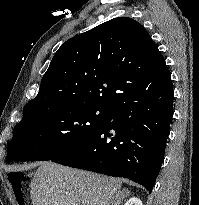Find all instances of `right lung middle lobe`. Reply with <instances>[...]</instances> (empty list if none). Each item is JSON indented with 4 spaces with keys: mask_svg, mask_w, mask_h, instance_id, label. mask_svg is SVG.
Returning <instances> with one entry per match:
<instances>
[{
    "mask_svg": "<svg viewBox=\"0 0 199 205\" xmlns=\"http://www.w3.org/2000/svg\"><path fill=\"white\" fill-rule=\"evenodd\" d=\"M109 109L83 104L28 106L7 145L6 163L53 160L85 143L108 122Z\"/></svg>",
    "mask_w": 199,
    "mask_h": 205,
    "instance_id": "obj_1",
    "label": "right lung middle lobe"
}]
</instances>
